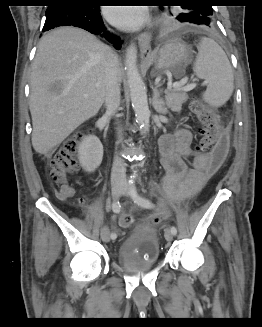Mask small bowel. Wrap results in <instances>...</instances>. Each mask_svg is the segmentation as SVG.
Segmentation results:
<instances>
[{
    "label": "small bowel",
    "mask_w": 262,
    "mask_h": 327,
    "mask_svg": "<svg viewBox=\"0 0 262 327\" xmlns=\"http://www.w3.org/2000/svg\"><path fill=\"white\" fill-rule=\"evenodd\" d=\"M193 135L188 129H178L174 134H165L159 139L162 165L163 195L173 200H184L195 195L213 172L209 171V155L196 154L192 149ZM83 207L85 201L78 198ZM159 212H165L161 209ZM166 214V213H165Z\"/></svg>",
    "instance_id": "small-bowel-1"
}]
</instances>
